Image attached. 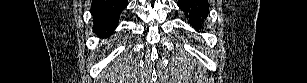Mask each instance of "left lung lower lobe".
<instances>
[{"label": "left lung lower lobe", "instance_id": "1", "mask_svg": "<svg viewBox=\"0 0 307 83\" xmlns=\"http://www.w3.org/2000/svg\"><path fill=\"white\" fill-rule=\"evenodd\" d=\"M178 7L184 11L188 23L195 29L203 30L209 13V4L206 0H178Z\"/></svg>", "mask_w": 307, "mask_h": 83}]
</instances>
